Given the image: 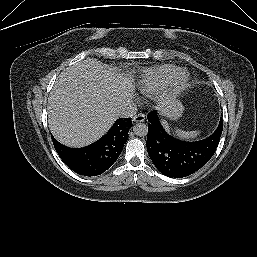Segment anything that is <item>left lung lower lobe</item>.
<instances>
[{
	"instance_id": "left-lung-lower-lobe-1",
	"label": "left lung lower lobe",
	"mask_w": 257,
	"mask_h": 257,
	"mask_svg": "<svg viewBox=\"0 0 257 257\" xmlns=\"http://www.w3.org/2000/svg\"><path fill=\"white\" fill-rule=\"evenodd\" d=\"M147 150L155 167L165 176L182 178L203 167L218 146L223 121L220 118L216 130L199 141H183L169 134L161 125L157 110L147 115Z\"/></svg>"
}]
</instances>
